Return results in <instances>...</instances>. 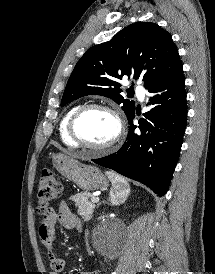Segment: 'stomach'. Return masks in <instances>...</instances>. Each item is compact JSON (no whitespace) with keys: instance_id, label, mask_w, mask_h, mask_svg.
Instances as JSON below:
<instances>
[{"instance_id":"obj_1","label":"stomach","mask_w":215,"mask_h":274,"mask_svg":"<svg viewBox=\"0 0 215 274\" xmlns=\"http://www.w3.org/2000/svg\"><path fill=\"white\" fill-rule=\"evenodd\" d=\"M53 164L60 174L86 192L103 189L109 185L108 179L97 167L85 165L68 155L55 154ZM126 190L120 203L126 200L130 192L128 188Z\"/></svg>"}]
</instances>
